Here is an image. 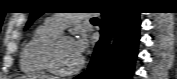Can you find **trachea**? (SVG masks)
I'll use <instances>...</instances> for the list:
<instances>
[{
  "instance_id": "obj_1",
  "label": "trachea",
  "mask_w": 177,
  "mask_h": 79,
  "mask_svg": "<svg viewBox=\"0 0 177 79\" xmlns=\"http://www.w3.org/2000/svg\"><path fill=\"white\" fill-rule=\"evenodd\" d=\"M91 20H92V21H97L98 19H97V18H92Z\"/></svg>"
}]
</instances>
